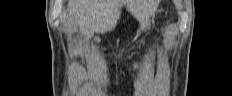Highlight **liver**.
Returning <instances> with one entry per match:
<instances>
[{"mask_svg": "<svg viewBox=\"0 0 232 96\" xmlns=\"http://www.w3.org/2000/svg\"><path fill=\"white\" fill-rule=\"evenodd\" d=\"M158 0H69L68 13L80 27L85 37L94 32L105 33L115 29L121 15V8L127 10L144 27L156 11Z\"/></svg>", "mask_w": 232, "mask_h": 96, "instance_id": "6515ba94", "label": "liver"}]
</instances>
